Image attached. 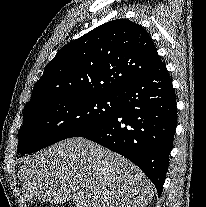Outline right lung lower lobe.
Returning a JSON list of instances; mask_svg holds the SVG:
<instances>
[{
  "label": "right lung lower lobe",
  "instance_id": "98d812e1",
  "mask_svg": "<svg viewBox=\"0 0 206 207\" xmlns=\"http://www.w3.org/2000/svg\"><path fill=\"white\" fill-rule=\"evenodd\" d=\"M172 81L160 59L119 94L117 111L80 133L135 163L162 193L177 120Z\"/></svg>",
  "mask_w": 206,
  "mask_h": 207
}]
</instances>
